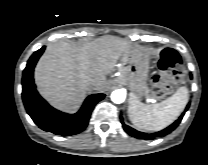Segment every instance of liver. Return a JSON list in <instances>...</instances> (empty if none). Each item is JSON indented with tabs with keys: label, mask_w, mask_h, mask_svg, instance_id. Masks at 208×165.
Instances as JSON below:
<instances>
[{
	"label": "liver",
	"mask_w": 208,
	"mask_h": 165,
	"mask_svg": "<svg viewBox=\"0 0 208 165\" xmlns=\"http://www.w3.org/2000/svg\"><path fill=\"white\" fill-rule=\"evenodd\" d=\"M131 44L115 36H103L77 45L66 41L51 43L35 68V82L41 95L54 107L73 111L90 84L107 88L106 75L118 60L127 62L134 53Z\"/></svg>",
	"instance_id": "1"
}]
</instances>
